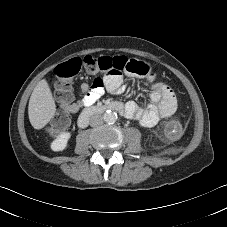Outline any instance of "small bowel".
I'll use <instances>...</instances> for the list:
<instances>
[{
	"mask_svg": "<svg viewBox=\"0 0 227 227\" xmlns=\"http://www.w3.org/2000/svg\"><path fill=\"white\" fill-rule=\"evenodd\" d=\"M149 82L154 81L150 74L146 76ZM82 97L75 103L63 105V110L76 112L82 107L94 104L104 93L108 91L113 95H119L124 91L123 78L119 75L108 76L104 80V85L94 87L83 82L80 85ZM177 108V98L174 91L167 85L155 82L150 93V103L142 108L134 101H129L125 107L127 118L137 120L146 128L154 127L160 119L168 118L174 114Z\"/></svg>",
	"mask_w": 227,
	"mask_h": 227,
	"instance_id": "small-bowel-1",
	"label": "small bowel"
}]
</instances>
